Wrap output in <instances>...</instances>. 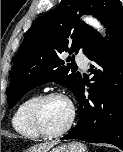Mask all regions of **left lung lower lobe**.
I'll use <instances>...</instances> for the list:
<instances>
[{
    "mask_svg": "<svg viewBox=\"0 0 123 152\" xmlns=\"http://www.w3.org/2000/svg\"><path fill=\"white\" fill-rule=\"evenodd\" d=\"M108 42L100 36L86 56L94 74L84 95L83 82L76 94L80 106L77 126L61 139L113 144L123 150V7L119 5L105 21Z\"/></svg>",
    "mask_w": 123,
    "mask_h": 152,
    "instance_id": "1",
    "label": "left lung lower lobe"
}]
</instances>
